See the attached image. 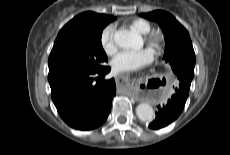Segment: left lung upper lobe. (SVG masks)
I'll return each instance as SVG.
<instances>
[{"mask_svg":"<svg viewBox=\"0 0 230 155\" xmlns=\"http://www.w3.org/2000/svg\"><path fill=\"white\" fill-rule=\"evenodd\" d=\"M142 17L158 22L165 37L164 60L169 63L178 79H193L195 53L188 31L172 16L163 10L142 13Z\"/></svg>","mask_w":230,"mask_h":155,"instance_id":"obj_1","label":"left lung upper lobe"}]
</instances>
